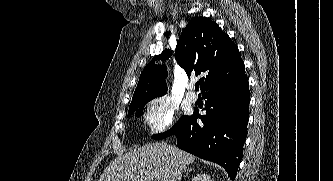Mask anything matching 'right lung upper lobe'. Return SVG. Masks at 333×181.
<instances>
[{
  "label": "right lung upper lobe",
  "instance_id": "cb5924a9",
  "mask_svg": "<svg viewBox=\"0 0 333 181\" xmlns=\"http://www.w3.org/2000/svg\"><path fill=\"white\" fill-rule=\"evenodd\" d=\"M170 56L171 51L165 49L145 66L129 108L165 95L167 69L165 65H156L155 61L167 60ZM175 58L188 77L191 74L202 76L199 80L202 93L245 74L237 46L206 17L189 21L177 41Z\"/></svg>",
  "mask_w": 333,
  "mask_h": 181
}]
</instances>
